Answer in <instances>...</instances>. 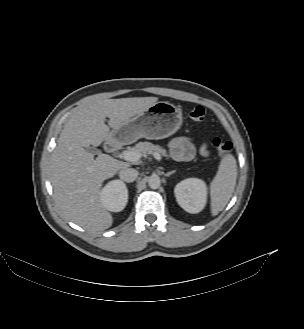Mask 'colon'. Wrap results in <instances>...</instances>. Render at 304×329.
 I'll return each instance as SVG.
<instances>
[{"label": "colon", "mask_w": 304, "mask_h": 329, "mask_svg": "<svg viewBox=\"0 0 304 329\" xmlns=\"http://www.w3.org/2000/svg\"><path fill=\"white\" fill-rule=\"evenodd\" d=\"M190 118L196 122H203L206 118L205 109L202 106L192 108ZM213 145L221 156L228 155L232 150V144L221 137H215Z\"/></svg>", "instance_id": "colon-1"}]
</instances>
